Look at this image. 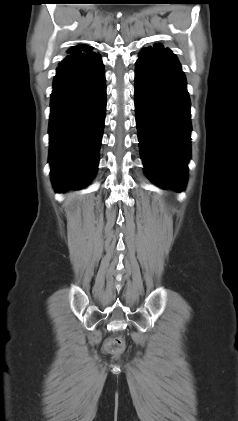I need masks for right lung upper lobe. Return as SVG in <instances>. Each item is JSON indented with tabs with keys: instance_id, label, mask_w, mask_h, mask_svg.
Segmentation results:
<instances>
[{
	"instance_id": "obj_1",
	"label": "right lung upper lobe",
	"mask_w": 238,
	"mask_h": 421,
	"mask_svg": "<svg viewBox=\"0 0 238 421\" xmlns=\"http://www.w3.org/2000/svg\"><path fill=\"white\" fill-rule=\"evenodd\" d=\"M92 52V47L87 45H77L71 48L68 53L69 54H76V53H87Z\"/></svg>"
}]
</instances>
